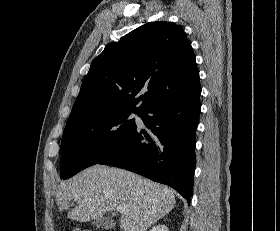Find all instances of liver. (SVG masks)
Listing matches in <instances>:
<instances>
[{
    "mask_svg": "<svg viewBox=\"0 0 280 231\" xmlns=\"http://www.w3.org/2000/svg\"><path fill=\"white\" fill-rule=\"evenodd\" d=\"M71 199L78 205L70 209L68 217L76 221L99 219L118 205L125 207L120 217L122 231H147L175 203L171 187L107 165H92L60 183L57 205L68 209Z\"/></svg>",
    "mask_w": 280,
    "mask_h": 231,
    "instance_id": "6515ba94",
    "label": "liver"
}]
</instances>
